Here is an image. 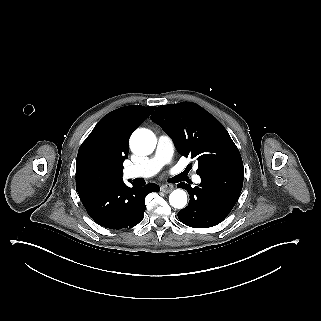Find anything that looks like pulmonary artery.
Returning a JSON list of instances; mask_svg holds the SVG:
<instances>
[{
	"label": "pulmonary artery",
	"mask_w": 321,
	"mask_h": 321,
	"mask_svg": "<svg viewBox=\"0 0 321 321\" xmlns=\"http://www.w3.org/2000/svg\"><path fill=\"white\" fill-rule=\"evenodd\" d=\"M174 146L171 138L166 134H160L158 137L157 148L153 156L145 158L137 165H131L124 169V176L131 177H151L157 174L163 165L170 166L172 172L177 173L180 171L181 166L175 162L173 157ZM182 172L184 175L189 176L192 174L193 169L191 166L186 165L183 167ZM193 180L196 184L201 182L198 175H194Z\"/></svg>",
	"instance_id": "obj_1"
}]
</instances>
